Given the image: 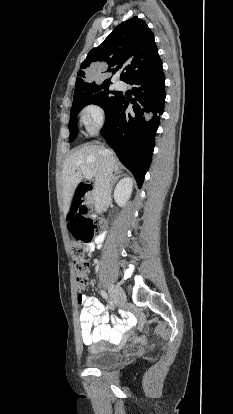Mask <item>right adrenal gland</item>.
Instances as JSON below:
<instances>
[{
    "label": "right adrenal gland",
    "mask_w": 233,
    "mask_h": 414,
    "mask_svg": "<svg viewBox=\"0 0 233 414\" xmlns=\"http://www.w3.org/2000/svg\"><path fill=\"white\" fill-rule=\"evenodd\" d=\"M125 174H122V172L121 171H117V172H115L114 173V175H113V177H112V181H111V187H110V189H111V191L113 190V187H114V185H115V183L121 178V177H123Z\"/></svg>",
    "instance_id": "1"
}]
</instances>
